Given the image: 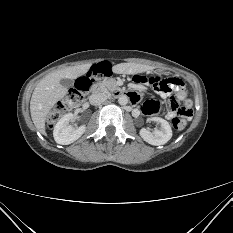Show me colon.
Segmentation results:
<instances>
[{"label": "colon", "instance_id": "obj_1", "mask_svg": "<svg viewBox=\"0 0 233 233\" xmlns=\"http://www.w3.org/2000/svg\"><path fill=\"white\" fill-rule=\"evenodd\" d=\"M101 65H107V64H101ZM99 66L100 65L93 67L90 70V72L93 69L99 70ZM107 66H108V71L107 72L99 71V75L96 78H102L110 74L111 72L110 66L109 65ZM133 80L138 83L148 82L152 84L156 90L159 91H168L172 88L173 84L177 83L175 80L171 78L163 79L154 76L146 78L141 75L134 76ZM89 86H90V81L87 80V75L79 78L75 82L74 87L68 91L65 98L59 101L55 106V108L48 115L47 123L49 127H53L60 120V118L63 116L65 112L78 106L83 101L84 95L88 91ZM148 107L153 113H157L162 109V104L158 101H149ZM167 107L169 110H173L177 112V115L172 119L173 128L176 130L184 129L193 113L191 101L187 99L182 101V103L180 104L179 101L173 99L167 104Z\"/></svg>", "mask_w": 233, "mask_h": 233}]
</instances>
